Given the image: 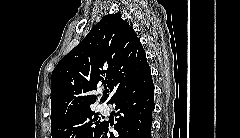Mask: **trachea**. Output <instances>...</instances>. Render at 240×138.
Segmentation results:
<instances>
[{
	"mask_svg": "<svg viewBox=\"0 0 240 138\" xmlns=\"http://www.w3.org/2000/svg\"><path fill=\"white\" fill-rule=\"evenodd\" d=\"M104 92H108V90H107V89H105V90H104Z\"/></svg>",
	"mask_w": 240,
	"mask_h": 138,
	"instance_id": "1",
	"label": "trachea"
}]
</instances>
